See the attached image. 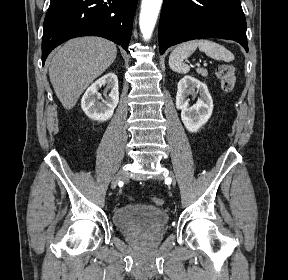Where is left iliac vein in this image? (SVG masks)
<instances>
[{
    "label": "left iliac vein",
    "instance_id": "4c4485c4",
    "mask_svg": "<svg viewBox=\"0 0 288 280\" xmlns=\"http://www.w3.org/2000/svg\"><path fill=\"white\" fill-rule=\"evenodd\" d=\"M170 179L172 180V184H173V186H175V180H174V178H173L172 175L170 176Z\"/></svg>",
    "mask_w": 288,
    "mask_h": 280
}]
</instances>
